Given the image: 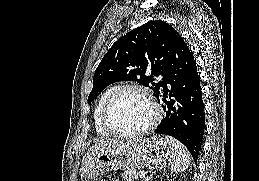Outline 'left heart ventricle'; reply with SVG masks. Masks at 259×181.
I'll use <instances>...</instances> for the list:
<instances>
[{"mask_svg": "<svg viewBox=\"0 0 259 181\" xmlns=\"http://www.w3.org/2000/svg\"><path fill=\"white\" fill-rule=\"evenodd\" d=\"M147 99L138 91H125L116 100L110 115L112 125L119 131L132 132L145 127L152 118Z\"/></svg>", "mask_w": 259, "mask_h": 181, "instance_id": "b2bd125f", "label": "left heart ventricle"}]
</instances>
